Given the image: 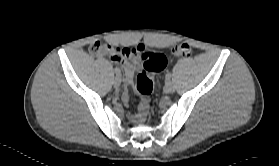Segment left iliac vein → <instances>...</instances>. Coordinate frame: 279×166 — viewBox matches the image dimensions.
Listing matches in <instances>:
<instances>
[{"label":"left iliac vein","instance_id":"obj_1","mask_svg":"<svg viewBox=\"0 0 279 166\" xmlns=\"http://www.w3.org/2000/svg\"><path fill=\"white\" fill-rule=\"evenodd\" d=\"M165 91L167 93H173L175 91L174 84L171 81H167L165 84Z\"/></svg>","mask_w":279,"mask_h":166}]
</instances>
